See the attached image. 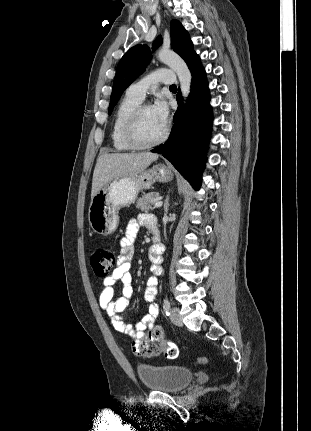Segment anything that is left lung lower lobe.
I'll list each match as a JSON object with an SVG mask.
<instances>
[{
    "mask_svg": "<svg viewBox=\"0 0 311 431\" xmlns=\"http://www.w3.org/2000/svg\"><path fill=\"white\" fill-rule=\"evenodd\" d=\"M188 68L192 73V82L187 108H183L179 91V107L174 115L171 137L151 152L162 154L195 189H199L212 115L208 83L197 54L189 62Z\"/></svg>",
    "mask_w": 311,
    "mask_h": 431,
    "instance_id": "0a47b994",
    "label": "left lung lower lobe"
}]
</instances>
